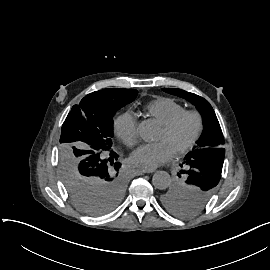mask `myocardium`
<instances>
[{
  "mask_svg": "<svg viewBox=\"0 0 270 270\" xmlns=\"http://www.w3.org/2000/svg\"><path fill=\"white\" fill-rule=\"evenodd\" d=\"M187 117H191L194 119L195 129L191 138L186 143L181 144L177 147L178 153H183L187 151L197 141L202 126V119L200 114L193 110L183 111L182 113L171 119L169 122L163 124L164 129L167 130L169 133H172L179 126V124Z\"/></svg>",
  "mask_w": 270,
  "mask_h": 270,
  "instance_id": "1",
  "label": "myocardium"
}]
</instances>
